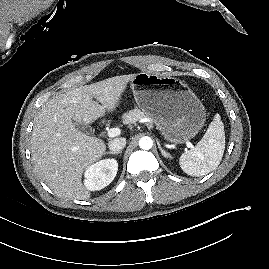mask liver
Instances as JSON below:
<instances>
[{"instance_id":"liver-1","label":"liver","mask_w":269,"mask_h":269,"mask_svg":"<svg viewBox=\"0 0 269 269\" xmlns=\"http://www.w3.org/2000/svg\"><path fill=\"white\" fill-rule=\"evenodd\" d=\"M135 76H115L80 86L50 99L38 112L32 131V160L40 178L56 195L90 198L82 184V174L105 154L106 145L79 131L73 121L89 125L114 111Z\"/></svg>"}]
</instances>
